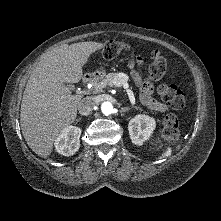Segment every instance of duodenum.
Wrapping results in <instances>:
<instances>
[{
	"instance_id": "duodenum-1",
	"label": "duodenum",
	"mask_w": 221,
	"mask_h": 221,
	"mask_svg": "<svg viewBox=\"0 0 221 221\" xmlns=\"http://www.w3.org/2000/svg\"><path fill=\"white\" fill-rule=\"evenodd\" d=\"M98 76H99L98 73L86 74L82 79L83 86H87L88 84L92 83Z\"/></svg>"
}]
</instances>
